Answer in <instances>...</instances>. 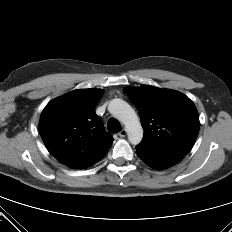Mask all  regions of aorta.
<instances>
[{"label":"aorta","instance_id":"aorta-1","mask_svg":"<svg viewBox=\"0 0 232 232\" xmlns=\"http://www.w3.org/2000/svg\"><path fill=\"white\" fill-rule=\"evenodd\" d=\"M108 111L124 124L129 142L139 144L143 138V128L135 110L124 100L116 98L110 101Z\"/></svg>","mask_w":232,"mask_h":232}]
</instances>
